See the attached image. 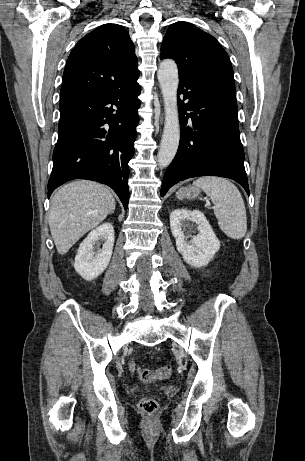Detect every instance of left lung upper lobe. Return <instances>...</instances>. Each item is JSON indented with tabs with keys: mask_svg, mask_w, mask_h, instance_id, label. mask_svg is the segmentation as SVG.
<instances>
[{
	"mask_svg": "<svg viewBox=\"0 0 305 461\" xmlns=\"http://www.w3.org/2000/svg\"><path fill=\"white\" fill-rule=\"evenodd\" d=\"M160 57L174 59L179 77L202 80L228 78L234 81L229 57L210 34L187 22H176L168 28Z\"/></svg>",
	"mask_w": 305,
	"mask_h": 461,
	"instance_id": "1",
	"label": "left lung upper lobe"
}]
</instances>
